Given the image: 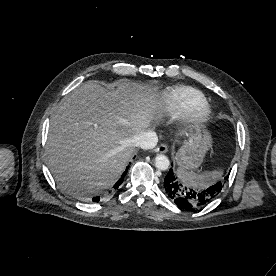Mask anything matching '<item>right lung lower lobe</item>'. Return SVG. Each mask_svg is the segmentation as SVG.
Instances as JSON below:
<instances>
[{
  "label": "right lung lower lobe",
  "mask_w": 276,
  "mask_h": 276,
  "mask_svg": "<svg viewBox=\"0 0 276 276\" xmlns=\"http://www.w3.org/2000/svg\"><path fill=\"white\" fill-rule=\"evenodd\" d=\"M124 176H125V174H124V175L122 176V178L119 179L118 182L114 185V189H117V188L121 185V183L123 182ZM99 199H100L99 197H96V198L93 199V201H99Z\"/></svg>",
  "instance_id": "right-lung-lower-lobe-1"
}]
</instances>
